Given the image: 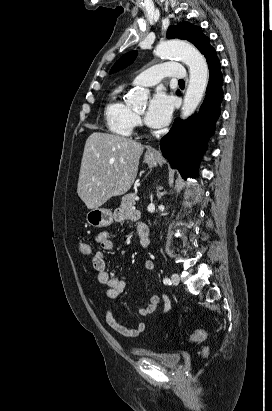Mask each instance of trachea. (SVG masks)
Returning a JSON list of instances; mask_svg holds the SVG:
<instances>
[{
	"label": "trachea",
	"instance_id": "1",
	"mask_svg": "<svg viewBox=\"0 0 272 411\" xmlns=\"http://www.w3.org/2000/svg\"><path fill=\"white\" fill-rule=\"evenodd\" d=\"M179 83H182V84H184L185 82H184V80H179L178 81Z\"/></svg>",
	"mask_w": 272,
	"mask_h": 411
}]
</instances>
